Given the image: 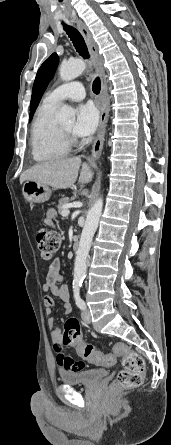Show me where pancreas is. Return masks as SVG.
Listing matches in <instances>:
<instances>
[{"label":"pancreas","mask_w":171,"mask_h":445,"mask_svg":"<svg viewBox=\"0 0 171 445\" xmlns=\"http://www.w3.org/2000/svg\"><path fill=\"white\" fill-rule=\"evenodd\" d=\"M68 202H69L68 198H62V199L59 200V203H58V206H57L59 212L64 210V205H66Z\"/></svg>","instance_id":"1"}]
</instances>
